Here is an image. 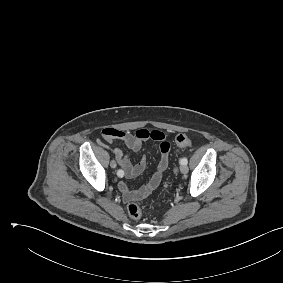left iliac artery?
<instances>
[{"instance_id":"left-iliac-artery-1","label":"left iliac artery","mask_w":283,"mask_h":283,"mask_svg":"<svg viewBox=\"0 0 283 283\" xmlns=\"http://www.w3.org/2000/svg\"><path fill=\"white\" fill-rule=\"evenodd\" d=\"M180 163H181L182 165H187V163H188L187 158H186V157L182 158L181 161H180Z\"/></svg>"}]
</instances>
